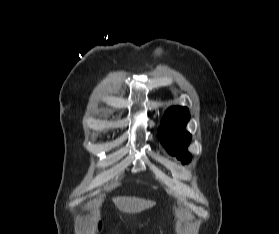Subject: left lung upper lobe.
I'll list each match as a JSON object with an SVG mask.
<instances>
[{"instance_id": "obj_1", "label": "left lung upper lobe", "mask_w": 279, "mask_h": 234, "mask_svg": "<svg viewBox=\"0 0 279 234\" xmlns=\"http://www.w3.org/2000/svg\"><path fill=\"white\" fill-rule=\"evenodd\" d=\"M186 107H171L162 119L159 129V138L167 151L171 155H176L183 164L191 161V154L187 147L191 141V135L185 130V126L190 119Z\"/></svg>"}]
</instances>
